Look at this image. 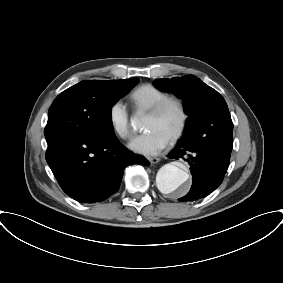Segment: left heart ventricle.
Instances as JSON below:
<instances>
[{
  "label": "left heart ventricle",
  "mask_w": 283,
  "mask_h": 283,
  "mask_svg": "<svg viewBox=\"0 0 283 283\" xmlns=\"http://www.w3.org/2000/svg\"><path fill=\"white\" fill-rule=\"evenodd\" d=\"M180 122V112L177 106L168 107L158 116L147 115L144 121V129L156 130L169 138L177 129Z\"/></svg>",
  "instance_id": "b2bd125f"
}]
</instances>
